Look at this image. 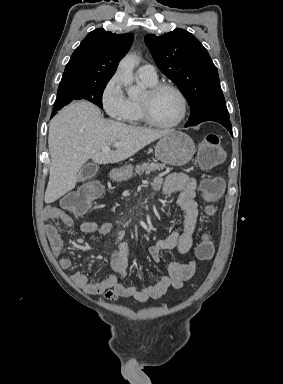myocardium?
<instances>
[{
    "instance_id": "myocardium-1",
    "label": "myocardium",
    "mask_w": 283,
    "mask_h": 384,
    "mask_svg": "<svg viewBox=\"0 0 283 384\" xmlns=\"http://www.w3.org/2000/svg\"><path fill=\"white\" fill-rule=\"evenodd\" d=\"M166 89L173 91L178 96V98L181 102V113H180L179 117L174 122L169 123V124H162V123L157 122L151 114L150 99H151V97H153L154 95H156L160 91L166 90ZM139 104H140V111H141V116L143 118V121L146 124H148L149 126L157 128V129H161V130H169V129L177 127L178 125H180L184 121V119L187 115V100H186L185 95L177 86L170 84V83H167V82L156 83L154 85L149 86L147 89L146 98L140 99Z\"/></svg>"
}]
</instances>
